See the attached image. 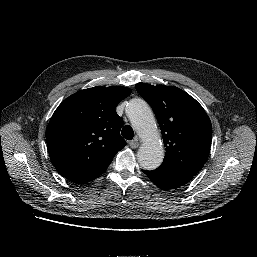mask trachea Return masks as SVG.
Returning a JSON list of instances; mask_svg holds the SVG:
<instances>
[{
    "label": "trachea",
    "mask_w": 257,
    "mask_h": 257,
    "mask_svg": "<svg viewBox=\"0 0 257 257\" xmlns=\"http://www.w3.org/2000/svg\"><path fill=\"white\" fill-rule=\"evenodd\" d=\"M121 134L127 140H131L134 137V131L129 125L123 127Z\"/></svg>",
    "instance_id": "obj_1"
}]
</instances>
